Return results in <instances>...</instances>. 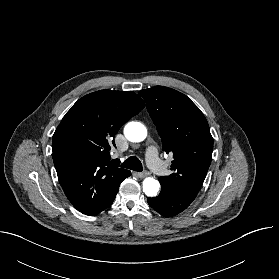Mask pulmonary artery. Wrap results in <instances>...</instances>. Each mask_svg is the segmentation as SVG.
I'll return each mask as SVG.
<instances>
[{
  "label": "pulmonary artery",
  "mask_w": 279,
  "mask_h": 279,
  "mask_svg": "<svg viewBox=\"0 0 279 279\" xmlns=\"http://www.w3.org/2000/svg\"><path fill=\"white\" fill-rule=\"evenodd\" d=\"M146 159L149 164V166L154 170V171H160L162 164L161 161L158 157V152L157 149L154 146H150L146 150Z\"/></svg>",
  "instance_id": "e3ab8cb5"
}]
</instances>
